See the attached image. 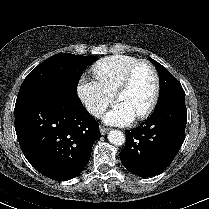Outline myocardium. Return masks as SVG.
<instances>
[{
    "label": "myocardium",
    "instance_id": "myocardium-1",
    "mask_svg": "<svg viewBox=\"0 0 209 209\" xmlns=\"http://www.w3.org/2000/svg\"><path fill=\"white\" fill-rule=\"evenodd\" d=\"M142 66L148 67L153 74L154 91H153V96L147 107L135 116L136 120H141L146 118L154 110L157 104L160 94V77L155 66L148 61H139L135 63L127 70V72L125 73V75L123 76V78L121 79L120 83L118 84L115 90V98L118 99V96L130 85L135 72Z\"/></svg>",
    "mask_w": 209,
    "mask_h": 209
}]
</instances>
